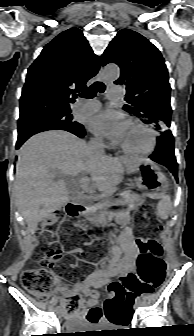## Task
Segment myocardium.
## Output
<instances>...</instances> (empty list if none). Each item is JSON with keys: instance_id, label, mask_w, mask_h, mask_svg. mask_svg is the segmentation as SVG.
I'll return each instance as SVG.
<instances>
[{"instance_id": "f54148a6", "label": "myocardium", "mask_w": 194, "mask_h": 336, "mask_svg": "<svg viewBox=\"0 0 194 336\" xmlns=\"http://www.w3.org/2000/svg\"><path fill=\"white\" fill-rule=\"evenodd\" d=\"M128 123L140 127L141 129L145 130L149 134V138H150L149 146L144 150L133 151V150L127 149L123 145L119 144V149L124 154L130 155V156H148V155L152 154L157 147V133H156V131L152 127H150L149 125L145 124L144 122H142L138 119L130 118L128 120Z\"/></svg>"}]
</instances>
